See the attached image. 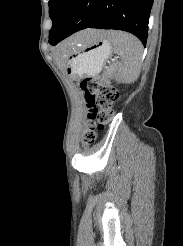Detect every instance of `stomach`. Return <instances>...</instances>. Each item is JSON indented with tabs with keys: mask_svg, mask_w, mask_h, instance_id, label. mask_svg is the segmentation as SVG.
<instances>
[{
	"mask_svg": "<svg viewBox=\"0 0 183 246\" xmlns=\"http://www.w3.org/2000/svg\"><path fill=\"white\" fill-rule=\"evenodd\" d=\"M111 50V43L105 35L84 44L68 61L69 73L73 77L97 74L110 57Z\"/></svg>",
	"mask_w": 183,
	"mask_h": 246,
	"instance_id": "1",
	"label": "stomach"
}]
</instances>
